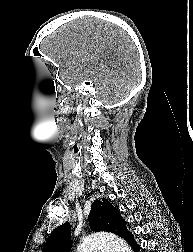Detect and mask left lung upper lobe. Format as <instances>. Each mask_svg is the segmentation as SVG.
I'll list each match as a JSON object with an SVG mask.
<instances>
[{
	"label": "left lung upper lobe",
	"mask_w": 193,
	"mask_h": 252,
	"mask_svg": "<svg viewBox=\"0 0 193 252\" xmlns=\"http://www.w3.org/2000/svg\"><path fill=\"white\" fill-rule=\"evenodd\" d=\"M89 223L90 229L95 232L108 231L125 239L130 233L119 211L105 198L92 203ZM70 247V224L65 223L50 234L42 252H68Z\"/></svg>",
	"instance_id": "left-lung-upper-lobe-1"
}]
</instances>
